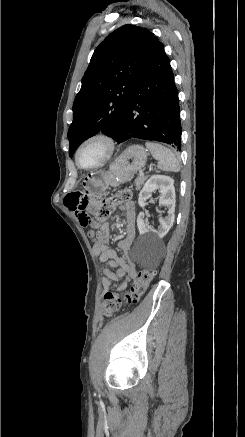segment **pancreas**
I'll return each instance as SVG.
<instances>
[{"instance_id":"pancreas-1","label":"pancreas","mask_w":245,"mask_h":437,"mask_svg":"<svg viewBox=\"0 0 245 437\" xmlns=\"http://www.w3.org/2000/svg\"><path fill=\"white\" fill-rule=\"evenodd\" d=\"M147 178L148 176L146 175H140L138 178L135 179L134 184L136 186V190H140L141 186L144 184Z\"/></svg>"}]
</instances>
